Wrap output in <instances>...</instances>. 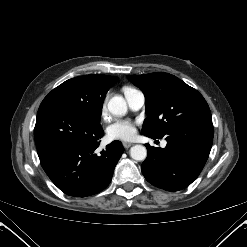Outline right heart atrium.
Masks as SVG:
<instances>
[{
	"label": "right heart atrium",
	"mask_w": 247,
	"mask_h": 247,
	"mask_svg": "<svg viewBox=\"0 0 247 247\" xmlns=\"http://www.w3.org/2000/svg\"><path fill=\"white\" fill-rule=\"evenodd\" d=\"M103 114H105V106L103 107Z\"/></svg>",
	"instance_id": "right-heart-atrium-1"
}]
</instances>
